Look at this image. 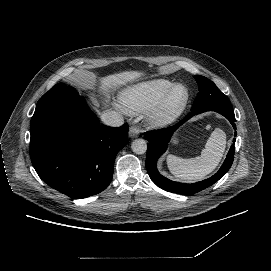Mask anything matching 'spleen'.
<instances>
[{"mask_svg": "<svg viewBox=\"0 0 271 271\" xmlns=\"http://www.w3.org/2000/svg\"><path fill=\"white\" fill-rule=\"evenodd\" d=\"M224 147L225 134L217 128L211 133L200 156L186 159L169 155L168 166L176 178L186 181L198 180L215 168L222 157Z\"/></svg>", "mask_w": 271, "mask_h": 271, "instance_id": "spleen-1", "label": "spleen"}]
</instances>
